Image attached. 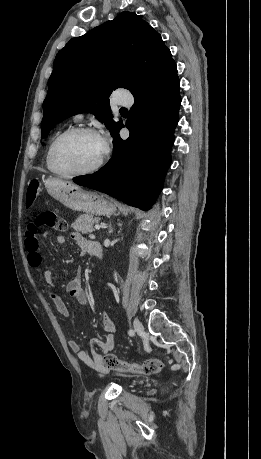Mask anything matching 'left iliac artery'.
<instances>
[{
  "instance_id": "left-iliac-artery-1",
  "label": "left iliac artery",
  "mask_w": 261,
  "mask_h": 459,
  "mask_svg": "<svg viewBox=\"0 0 261 459\" xmlns=\"http://www.w3.org/2000/svg\"><path fill=\"white\" fill-rule=\"evenodd\" d=\"M128 334H129L130 336H133V335H134V331H133L132 329H130V330L128 331Z\"/></svg>"
}]
</instances>
